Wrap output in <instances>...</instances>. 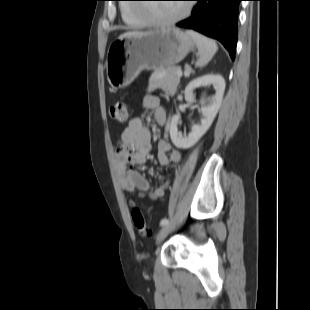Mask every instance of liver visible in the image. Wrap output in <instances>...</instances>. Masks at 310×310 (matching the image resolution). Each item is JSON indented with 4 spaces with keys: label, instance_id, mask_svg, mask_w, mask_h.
<instances>
[{
    "label": "liver",
    "instance_id": "1",
    "mask_svg": "<svg viewBox=\"0 0 310 310\" xmlns=\"http://www.w3.org/2000/svg\"><path fill=\"white\" fill-rule=\"evenodd\" d=\"M150 34L148 32H137V31H129L125 32L122 35H120L118 38H126V37H134V36H142V35H147Z\"/></svg>",
    "mask_w": 310,
    "mask_h": 310
}]
</instances>
